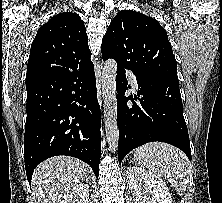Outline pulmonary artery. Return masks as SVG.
<instances>
[{
  "label": "pulmonary artery",
  "mask_w": 222,
  "mask_h": 203,
  "mask_svg": "<svg viewBox=\"0 0 222 203\" xmlns=\"http://www.w3.org/2000/svg\"><path fill=\"white\" fill-rule=\"evenodd\" d=\"M127 76L130 78V81L132 83V85L137 88L138 87V83H137V80H136V77L134 75L133 72L131 71H127Z\"/></svg>",
  "instance_id": "obj_1"
}]
</instances>
